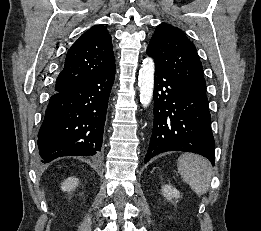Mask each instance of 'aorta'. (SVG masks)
Here are the masks:
<instances>
[{
    "instance_id": "762f6f07",
    "label": "aorta",
    "mask_w": 261,
    "mask_h": 231,
    "mask_svg": "<svg viewBox=\"0 0 261 231\" xmlns=\"http://www.w3.org/2000/svg\"><path fill=\"white\" fill-rule=\"evenodd\" d=\"M155 64L152 58L143 61L139 71L138 85L140 90V102L147 107L153 96Z\"/></svg>"
}]
</instances>
